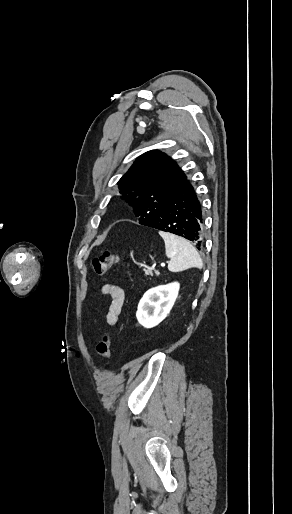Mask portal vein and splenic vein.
<instances>
[{"label": "portal vein and splenic vein", "instance_id": "portal-vein-and-splenic-vein-1", "mask_svg": "<svg viewBox=\"0 0 292 514\" xmlns=\"http://www.w3.org/2000/svg\"><path fill=\"white\" fill-rule=\"evenodd\" d=\"M161 266H165V264H161Z\"/></svg>", "mask_w": 292, "mask_h": 514}]
</instances>
